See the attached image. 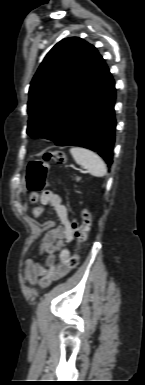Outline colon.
<instances>
[{
	"instance_id": "obj_1",
	"label": "colon",
	"mask_w": 145,
	"mask_h": 385,
	"mask_svg": "<svg viewBox=\"0 0 145 385\" xmlns=\"http://www.w3.org/2000/svg\"><path fill=\"white\" fill-rule=\"evenodd\" d=\"M66 156L62 151H50L44 154L41 160H36L30 163L27 171L26 185L30 192L32 201H37L39 193L42 192L46 185V177L50 167V163L63 164ZM92 225V216L88 209H83L81 212V222L73 226V237L77 242V250L87 240L88 233ZM79 256L76 252L70 258V264L75 267L78 263Z\"/></svg>"
}]
</instances>
